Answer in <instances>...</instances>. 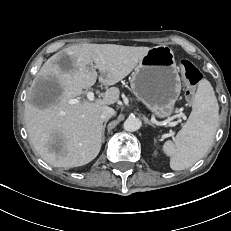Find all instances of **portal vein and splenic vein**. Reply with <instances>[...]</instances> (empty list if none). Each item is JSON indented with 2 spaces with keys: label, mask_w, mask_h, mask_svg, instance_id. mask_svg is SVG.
Instances as JSON below:
<instances>
[{
  "label": "portal vein and splenic vein",
  "mask_w": 231,
  "mask_h": 231,
  "mask_svg": "<svg viewBox=\"0 0 231 231\" xmlns=\"http://www.w3.org/2000/svg\"><path fill=\"white\" fill-rule=\"evenodd\" d=\"M87 99H88L89 101H94V99H95L94 92L89 91V92L87 93ZM78 102H79V101H78L77 99H71V100L69 101L70 104H75V103H78Z\"/></svg>",
  "instance_id": "18ae733b"
}]
</instances>
